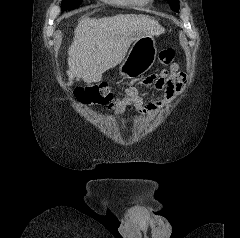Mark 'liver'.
Returning a JSON list of instances; mask_svg holds the SVG:
<instances>
[{
    "mask_svg": "<svg viewBox=\"0 0 240 238\" xmlns=\"http://www.w3.org/2000/svg\"><path fill=\"white\" fill-rule=\"evenodd\" d=\"M162 33L164 28L148 15L81 18L68 50V86L75 77L88 84L100 82L106 71L124 60L132 42L145 34Z\"/></svg>",
    "mask_w": 240,
    "mask_h": 238,
    "instance_id": "obj_1",
    "label": "liver"
}]
</instances>
